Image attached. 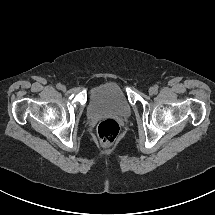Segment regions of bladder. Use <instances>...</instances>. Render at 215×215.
Here are the masks:
<instances>
[{
	"label": "bladder",
	"instance_id": "bladder-1",
	"mask_svg": "<svg viewBox=\"0 0 215 215\" xmlns=\"http://www.w3.org/2000/svg\"><path fill=\"white\" fill-rule=\"evenodd\" d=\"M87 110L92 117L109 113L127 118L132 113V107L122 88L115 82H104L94 87Z\"/></svg>",
	"mask_w": 215,
	"mask_h": 215
}]
</instances>
